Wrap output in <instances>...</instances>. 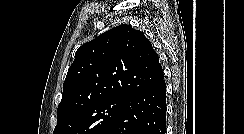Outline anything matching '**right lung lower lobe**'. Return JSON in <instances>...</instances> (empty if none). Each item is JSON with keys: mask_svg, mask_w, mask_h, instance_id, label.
Returning <instances> with one entry per match:
<instances>
[{"mask_svg": "<svg viewBox=\"0 0 244 134\" xmlns=\"http://www.w3.org/2000/svg\"><path fill=\"white\" fill-rule=\"evenodd\" d=\"M166 83L129 97L114 122L102 134H165Z\"/></svg>", "mask_w": 244, "mask_h": 134, "instance_id": "right-lung-lower-lobe-1", "label": "right lung lower lobe"}]
</instances>
